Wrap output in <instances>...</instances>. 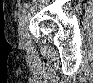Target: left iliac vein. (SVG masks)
Masks as SVG:
<instances>
[{
  "label": "left iliac vein",
  "mask_w": 93,
  "mask_h": 83,
  "mask_svg": "<svg viewBox=\"0 0 93 83\" xmlns=\"http://www.w3.org/2000/svg\"><path fill=\"white\" fill-rule=\"evenodd\" d=\"M25 24H26V16L24 15V17L20 21L19 29H18L19 38H20L21 42H23L24 39H25V34H24V32H25Z\"/></svg>",
  "instance_id": "obj_1"
}]
</instances>
